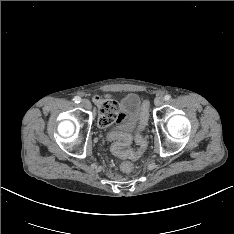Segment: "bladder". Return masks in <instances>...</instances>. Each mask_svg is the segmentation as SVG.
<instances>
[{
	"instance_id": "31cf9c89",
	"label": "bladder",
	"mask_w": 234,
	"mask_h": 234,
	"mask_svg": "<svg viewBox=\"0 0 234 234\" xmlns=\"http://www.w3.org/2000/svg\"><path fill=\"white\" fill-rule=\"evenodd\" d=\"M119 115L115 131L130 134L143 128L146 123V114L140 96L136 93L125 95L120 102Z\"/></svg>"
}]
</instances>
